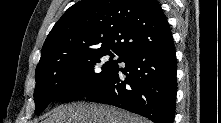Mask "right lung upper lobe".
Listing matches in <instances>:
<instances>
[{
    "label": "right lung upper lobe",
    "instance_id": "obj_1",
    "mask_svg": "<svg viewBox=\"0 0 221 123\" xmlns=\"http://www.w3.org/2000/svg\"><path fill=\"white\" fill-rule=\"evenodd\" d=\"M172 35L156 0H83L71 6L47 36L37 66L79 53L126 54Z\"/></svg>",
    "mask_w": 221,
    "mask_h": 123
}]
</instances>
